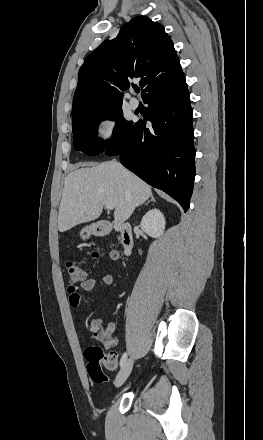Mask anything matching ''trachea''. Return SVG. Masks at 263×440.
I'll return each mask as SVG.
<instances>
[{
	"label": "trachea",
	"mask_w": 263,
	"mask_h": 440,
	"mask_svg": "<svg viewBox=\"0 0 263 440\" xmlns=\"http://www.w3.org/2000/svg\"><path fill=\"white\" fill-rule=\"evenodd\" d=\"M134 91H135L136 93H138V92L140 91V88H138V87H134Z\"/></svg>",
	"instance_id": "trachea-1"
}]
</instances>
